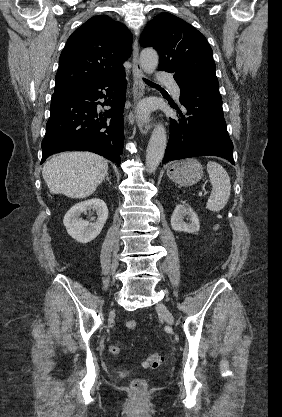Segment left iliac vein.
Masks as SVG:
<instances>
[{"label": "left iliac vein", "instance_id": "1", "mask_svg": "<svg viewBox=\"0 0 282 417\" xmlns=\"http://www.w3.org/2000/svg\"><path fill=\"white\" fill-rule=\"evenodd\" d=\"M156 309L163 316V318L168 324L172 325L174 323L173 315L163 303H158L156 305Z\"/></svg>", "mask_w": 282, "mask_h": 417}]
</instances>
